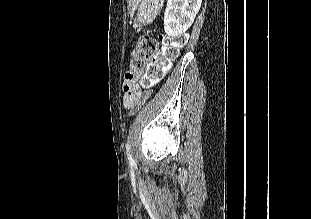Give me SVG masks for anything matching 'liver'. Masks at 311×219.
Here are the masks:
<instances>
[{
  "label": "liver",
  "mask_w": 311,
  "mask_h": 219,
  "mask_svg": "<svg viewBox=\"0 0 311 219\" xmlns=\"http://www.w3.org/2000/svg\"><path fill=\"white\" fill-rule=\"evenodd\" d=\"M139 0H129V3L132 2V3H136L138 2Z\"/></svg>",
  "instance_id": "6515ba94"
}]
</instances>
